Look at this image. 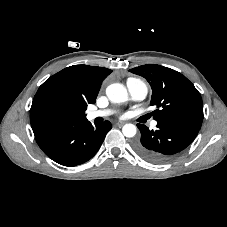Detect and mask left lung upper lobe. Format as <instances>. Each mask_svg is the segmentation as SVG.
<instances>
[{"instance_id": "obj_1", "label": "left lung upper lobe", "mask_w": 227, "mask_h": 227, "mask_svg": "<svg viewBox=\"0 0 227 227\" xmlns=\"http://www.w3.org/2000/svg\"><path fill=\"white\" fill-rule=\"evenodd\" d=\"M130 72L144 77L152 88L150 104L157 122L182 123L200 129L203 103L198 90L181 73L156 64L142 65Z\"/></svg>"}]
</instances>
